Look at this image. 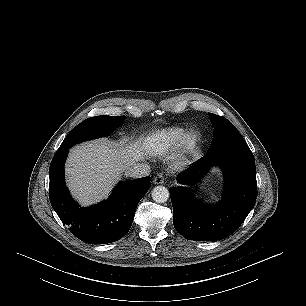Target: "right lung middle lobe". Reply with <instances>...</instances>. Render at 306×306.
Returning <instances> with one entry per match:
<instances>
[{
    "instance_id": "obj_1",
    "label": "right lung middle lobe",
    "mask_w": 306,
    "mask_h": 306,
    "mask_svg": "<svg viewBox=\"0 0 306 306\" xmlns=\"http://www.w3.org/2000/svg\"><path fill=\"white\" fill-rule=\"evenodd\" d=\"M125 116L90 117L78 124L64 139L56 153L62 152L75 144L106 136L124 123Z\"/></svg>"
}]
</instances>
